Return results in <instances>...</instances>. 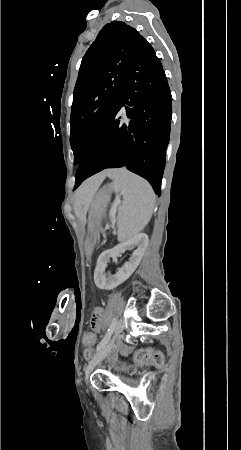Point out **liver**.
Wrapping results in <instances>:
<instances>
[{"instance_id": "6515ba94", "label": "liver", "mask_w": 241, "mask_h": 450, "mask_svg": "<svg viewBox=\"0 0 241 450\" xmlns=\"http://www.w3.org/2000/svg\"><path fill=\"white\" fill-rule=\"evenodd\" d=\"M108 174L109 170H104V172H100V174H96V176H92V178H88L86 182H83L80 188L76 190V194L74 196L75 202H79V204H87V206H89L94 194H96L99 186H101L103 180H105Z\"/></svg>"}]
</instances>
